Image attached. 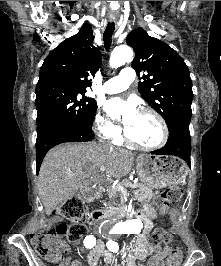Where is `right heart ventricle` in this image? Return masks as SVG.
<instances>
[{"mask_svg": "<svg viewBox=\"0 0 221 266\" xmlns=\"http://www.w3.org/2000/svg\"><path fill=\"white\" fill-rule=\"evenodd\" d=\"M115 142H116L117 144H120V143H121V140H120V139H116Z\"/></svg>", "mask_w": 221, "mask_h": 266, "instance_id": "obj_1", "label": "right heart ventricle"}]
</instances>
